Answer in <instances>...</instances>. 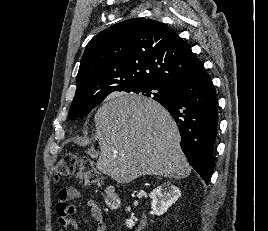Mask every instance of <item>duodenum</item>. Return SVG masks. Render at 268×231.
Returning <instances> with one entry per match:
<instances>
[{
    "label": "duodenum",
    "mask_w": 268,
    "mask_h": 231,
    "mask_svg": "<svg viewBox=\"0 0 268 231\" xmlns=\"http://www.w3.org/2000/svg\"><path fill=\"white\" fill-rule=\"evenodd\" d=\"M106 203L110 208H117L119 206V197L115 194H108L106 197Z\"/></svg>",
    "instance_id": "1"
}]
</instances>
